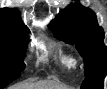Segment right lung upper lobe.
<instances>
[{
  "label": "right lung upper lobe",
  "instance_id": "right-lung-upper-lobe-1",
  "mask_svg": "<svg viewBox=\"0 0 107 89\" xmlns=\"http://www.w3.org/2000/svg\"><path fill=\"white\" fill-rule=\"evenodd\" d=\"M0 25H10L18 28H26L21 21L19 12L14 9L3 8L0 10Z\"/></svg>",
  "mask_w": 107,
  "mask_h": 89
}]
</instances>
